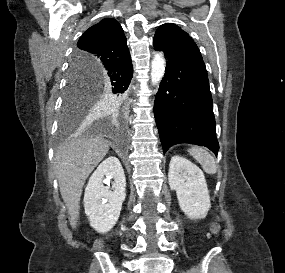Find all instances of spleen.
<instances>
[{
	"mask_svg": "<svg viewBox=\"0 0 285 273\" xmlns=\"http://www.w3.org/2000/svg\"><path fill=\"white\" fill-rule=\"evenodd\" d=\"M188 152L201 164L203 170L208 174H215L217 171L214 158L205 149L194 146Z\"/></svg>",
	"mask_w": 285,
	"mask_h": 273,
	"instance_id": "3e777b00",
	"label": "spleen"
}]
</instances>
